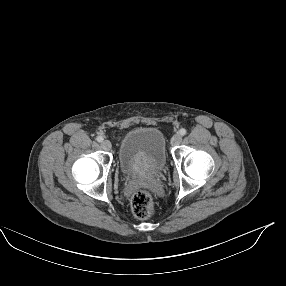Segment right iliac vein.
Wrapping results in <instances>:
<instances>
[{
  "label": "right iliac vein",
  "instance_id": "right-iliac-vein-1",
  "mask_svg": "<svg viewBox=\"0 0 286 286\" xmlns=\"http://www.w3.org/2000/svg\"><path fill=\"white\" fill-rule=\"evenodd\" d=\"M101 147L104 149V150H110L111 147H112V144L109 140H104L102 141L101 143Z\"/></svg>",
  "mask_w": 286,
  "mask_h": 286
}]
</instances>
